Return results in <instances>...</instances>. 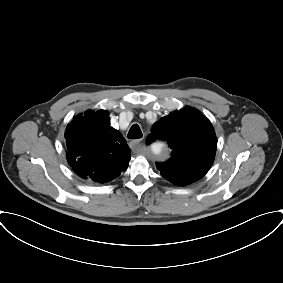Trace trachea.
<instances>
[{
	"mask_svg": "<svg viewBox=\"0 0 283 283\" xmlns=\"http://www.w3.org/2000/svg\"><path fill=\"white\" fill-rule=\"evenodd\" d=\"M142 132L137 124L131 126L127 138L129 139H139L142 138Z\"/></svg>",
	"mask_w": 283,
	"mask_h": 283,
	"instance_id": "1",
	"label": "trachea"
}]
</instances>
